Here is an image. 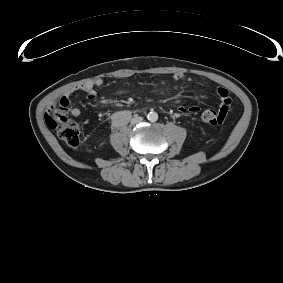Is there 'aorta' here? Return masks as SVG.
<instances>
[{"mask_svg": "<svg viewBox=\"0 0 283 283\" xmlns=\"http://www.w3.org/2000/svg\"><path fill=\"white\" fill-rule=\"evenodd\" d=\"M147 119L150 122H156L158 120V114L154 111H151V112L148 113Z\"/></svg>", "mask_w": 283, "mask_h": 283, "instance_id": "1", "label": "aorta"}]
</instances>
